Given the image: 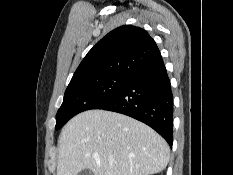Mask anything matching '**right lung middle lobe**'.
I'll use <instances>...</instances> for the list:
<instances>
[{"label":"right lung middle lobe","mask_w":233,"mask_h":175,"mask_svg":"<svg viewBox=\"0 0 233 175\" xmlns=\"http://www.w3.org/2000/svg\"><path fill=\"white\" fill-rule=\"evenodd\" d=\"M131 77L125 74H105L70 83L56 115L55 129H60L78 113L96 109L113 98Z\"/></svg>","instance_id":"obj_1"}]
</instances>
